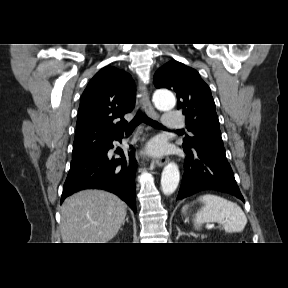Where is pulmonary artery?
<instances>
[{"mask_svg":"<svg viewBox=\"0 0 288 288\" xmlns=\"http://www.w3.org/2000/svg\"><path fill=\"white\" fill-rule=\"evenodd\" d=\"M163 126L168 129H180L184 126V120L180 113L169 111L164 114Z\"/></svg>","mask_w":288,"mask_h":288,"instance_id":"e3ab8cb5","label":"pulmonary artery"}]
</instances>
